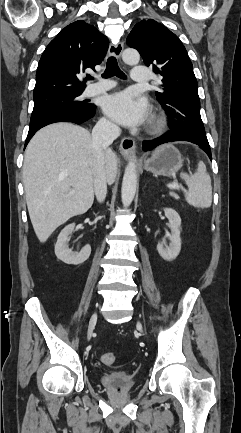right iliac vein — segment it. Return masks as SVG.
Segmentation results:
<instances>
[{"label": "right iliac vein", "mask_w": 241, "mask_h": 433, "mask_svg": "<svg viewBox=\"0 0 241 433\" xmlns=\"http://www.w3.org/2000/svg\"><path fill=\"white\" fill-rule=\"evenodd\" d=\"M96 321H97V312H94L90 318V321H89V327H88V332H87V338L88 339L91 338V335L93 333V328H94Z\"/></svg>", "instance_id": "63e3f726"}]
</instances>
